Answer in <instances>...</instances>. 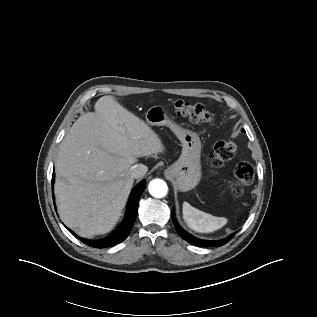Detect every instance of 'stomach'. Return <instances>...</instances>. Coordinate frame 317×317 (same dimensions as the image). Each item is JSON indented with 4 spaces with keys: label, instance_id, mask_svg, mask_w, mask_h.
I'll use <instances>...</instances> for the list:
<instances>
[{
    "label": "stomach",
    "instance_id": "stomach-1",
    "mask_svg": "<svg viewBox=\"0 0 317 317\" xmlns=\"http://www.w3.org/2000/svg\"><path fill=\"white\" fill-rule=\"evenodd\" d=\"M146 122L151 126H168L182 145L179 159L165 170L180 192L195 188L201 179V141L197 133L172 121L163 106H152L146 112Z\"/></svg>",
    "mask_w": 317,
    "mask_h": 317
}]
</instances>
